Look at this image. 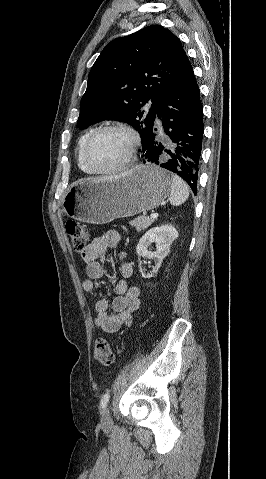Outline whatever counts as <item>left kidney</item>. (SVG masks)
I'll use <instances>...</instances> for the list:
<instances>
[{"label":"left kidney","instance_id":"left-kidney-1","mask_svg":"<svg viewBox=\"0 0 266 479\" xmlns=\"http://www.w3.org/2000/svg\"><path fill=\"white\" fill-rule=\"evenodd\" d=\"M178 237L177 230L171 225H162L148 230L136 247L138 256L155 259V266L152 271L146 272L139 266L143 278H151L158 272L163 259L170 253L172 242ZM156 243V252L148 251V246Z\"/></svg>","mask_w":266,"mask_h":479}]
</instances>
